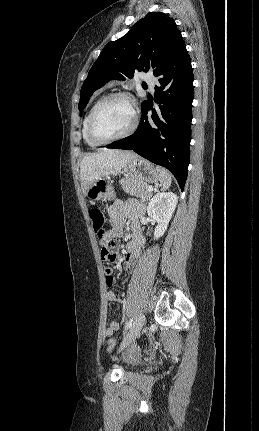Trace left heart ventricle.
I'll list each match as a JSON object with an SVG mask.
<instances>
[{"instance_id":"b2bd125f","label":"left heart ventricle","mask_w":259,"mask_h":431,"mask_svg":"<svg viewBox=\"0 0 259 431\" xmlns=\"http://www.w3.org/2000/svg\"><path fill=\"white\" fill-rule=\"evenodd\" d=\"M133 112L128 101L114 99L98 113L94 130L100 138H110L122 134L132 124Z\"/></svg>"}]
</instances>
